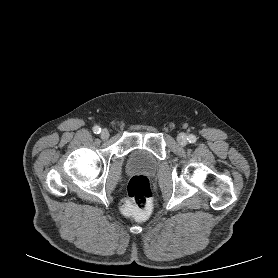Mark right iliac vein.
<instances>
[{
	"label": "right iliac vein",
	"mask_w": 278,
	"mask_h": 278,
	"mask_svg": "<svg viewBox=\"0 0 278 278\" xmlns=\"http://www.w3.org/2000/svg\"><path fill=\"white\" fill-rule=\"evenodd\" d=\"M100 137H101L103 140L108 139V137H109V132H108V130L103 129V130L101 131V133H100Z\"/></svg>",
	"instance_id": "obj_1"
}]
</instances>
